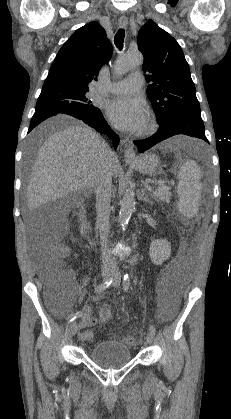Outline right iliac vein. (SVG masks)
I'll list each match as a JSON object with an SVG mask.
<instances>
[{
  "instance_id": "63e3f726",
  "label": "right iliac vein",
  "mask_w": 231,
  "mask_h": 419,
  "mask_svg": "<svg viewBox=\"0 0 231 419\" xmlns=\"http://www.w3.org/2000/svg\"><path fill=\"white\" fill-rule=\"evenodd\" d=\"M112 270L111 269H103L102 271V279L106 280L108 279L111 275H112ZM78 331V323L76 321H74L71 326H70V335L74 336Z\"/></svg>"
}]
</instances>
